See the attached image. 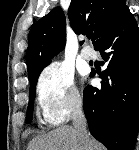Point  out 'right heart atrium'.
Instances as JSON below:
<instances>
[{"instance_id":"obj_1","label":"right heart atrium","mask_w":139,"mask_h":150,"mask_svg":"<svg viewBox=\"0 0 139 150\" xmlns=\"http://www.w3.org/2000/svg\"><path fill=\"white\" fill-rule=\"evenodd\" d=\"M36 93L41 117L48 125L64 123L82 106L73 73L59 64H51L41 72Z\"/></svg>"}]
</instances>
